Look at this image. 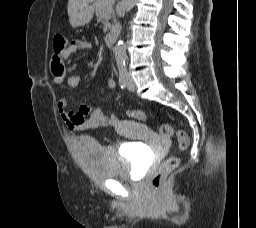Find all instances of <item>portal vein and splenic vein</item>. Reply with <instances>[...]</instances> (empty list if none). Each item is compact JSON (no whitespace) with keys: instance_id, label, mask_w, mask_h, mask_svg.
Instances as JSON below:
<instances>
[{"instance_id":"obj_1","label":"portal vein and splenic vein","mask_w":256,"mask_h":228,"mask_svg":"<svg viewBox=\"0 0 256 228\" xmlns=\"http://www.w3.org/2000/svg\"><path fill=\"white\" fill-rule=\"evenodd\" d=\"M107 2H111V1H114V0H106Z\"/></svg>"}]
</instances>
